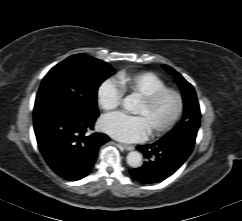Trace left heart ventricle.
I'll return each instance as SVG.
<instances>
[{"instance_id": "obj_1", "label": "left heart ventricle", "mask_w": 242, "mask_h": 221, "mask_svg": "<svg viewBox=\"0 0 242 221\" xmlns=\"http://www.w3.org/2000/svg\"><path fill=\"white\" fill-rule=\"evenodd\" d=\"M175 110V100L172 96L163 97L152 107H147L141 100L135 114L143 117L149 129L164 124Z\"/></svg>"}]
</instances>
